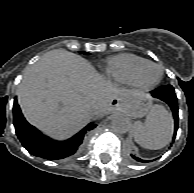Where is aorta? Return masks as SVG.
Wrapping results in <instances>:
<instances>
[{
    "label": "aorta",
    "instance_id": "aorta-1",
    "mask_svg": "<svg viewBox=\"0 0 194 193\" xmlns=\"http://www.w3.org/2000/svg\"><path fill=\"white\" fill-rule=\"evenodd\" d=\"M111 129L115 133L124 134L129 130V122L122 117H116L111 122Z\"/></svg>",
    "mask_w": 194,
    "mask_h": 193
}]
</instances>
